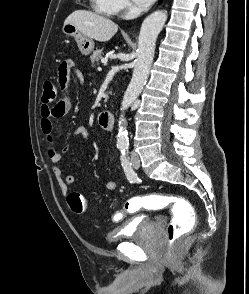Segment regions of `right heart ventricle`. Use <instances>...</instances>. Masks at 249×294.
Returning <instances> with one entry per match:
<instances>
[{"instance_id": "e07e8e85", "label": "right heart ventricle", "mask_w": 249, "mask_h": 294, "mask_svg": "<svg viewBox=\"0 0 249 294\" xmlns=\"http://www.w3.org/2000/svg\"><path fill=\"white\" fill-rule=\"evenodd\" d=\"M94 9L103 15L114 16L118 13L116 0H91Z\"/></svg>"}]
</instances>
